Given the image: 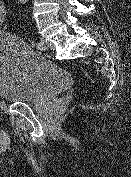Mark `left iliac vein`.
Here are the masks:
<instances>
[{
    "instance_id": "4c4485c4",
    "label": "left iliac vein",
    "mask_w": 131,
    "mask_h": 177,
    "mask_svg": "<svg viewBox=\"0 0 131 177\" xmlns=\"http://www.w3.org/2000/svg\"><path fill=\"white\" fill-rule=\"evenodd\" d=\"M40 42L42 43V48L40 50H53L54 49V45L50 41L44 38H41Z\"/></svg>"
}]
</instances>
